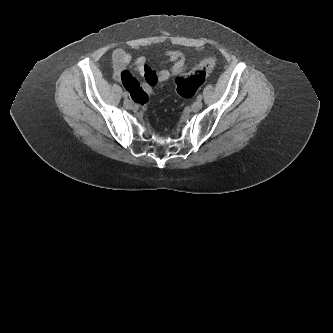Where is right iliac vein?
Masks as SVG:
<instances>
[{"instance_id": "right-iliac-vein-1", "label": "right iliac vein", "mask_w": 333, "mask_h": 333, "mask_svg": "<svg viewBox=\"0 0 333 333\" xmlns=\"http://www.w3.org/2000/svg\"><path fill=\"white\" fill-rule=\"evenodd\" d=\"M124 106L127 108V109H132L133 108V104L130 100L128 99H125L124 100Z\"/></svg>"}]
</instances>
